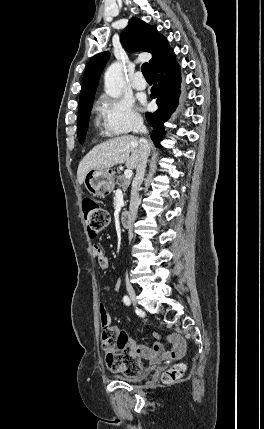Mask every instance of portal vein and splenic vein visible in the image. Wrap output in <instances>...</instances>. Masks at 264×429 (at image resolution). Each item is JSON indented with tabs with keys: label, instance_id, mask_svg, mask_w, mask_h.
<instances>
[{
	"label": "portal vein and splenic vein",
	"instance_id": "1",
	"mask_svg": "<svg viewBox=\"0 0 264 429\" xmlns=\"http://www.w3.org/2000/svg\"><path fill=\"white\" fill-rule=\"evenodd\" d=\"M132 174H133V171H132L131 169H127V170H125V172H124V177H125L126 179H130V178L132 177Z\"/></svg>",
	"mask_w": 264,
	"mask_h": 429
}]
</instances>
